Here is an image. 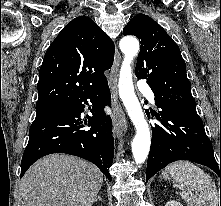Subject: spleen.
I'll list each match as a JSON object with an SVG mask.
<instances>
[{"label": "spleen", "instance_id": "1", "mask_svg": "<svg viewBox=\"0 0 221 206\" xmlns=\"http://www.w3.org/2000/svg\"><path fill=\"white\" fill-rule=\"evenodd\" d=\"M167 170L177 183L186 187L179 194L189 206H219L217 186L201 168L189 161H177ZM190 189H195V193Z\"/></svg>", "mask_w": 221, "mask_h": 206}]
</instances>
